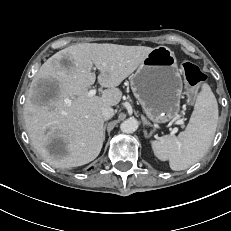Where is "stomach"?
Masks as SVG:
<instances>
[{"label": "stomach", "mask_w": 231, "mask_h": 231, "mask_svg": "<svg viewBox=\"0 0 231 231\" xmlns=\"http://www.w3.org/2000/svg\"><path fill=\"white\" fill-rule=\"evenodd\" d=\"M130 84L152 122L163 124L178 118L183 83L174 52L168 47L154 48L130 76Z\"/></svg>", "instance_id": "1"}]
</instances>
